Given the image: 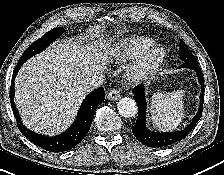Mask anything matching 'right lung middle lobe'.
Here are the masks:
<instances>
[{
	"mask_svg": "<svg viewBox=\"0 0 224 175\" xmlns=\"http://www.w3.org/2000/svg\"><path fill=\"white\" fill-rule=\"evenodd\" d=\"M65 30L61 27L54 28L45 33L42 38L35 41L21 56L19 60H27L43 51L50 43L56 40Z\"/></svg>",
	"mask_w": 224,
	"mask_h": 175,
	"instance_id": "obj_1",
	"label": "right lung middle lobe"
}]
</instances>
